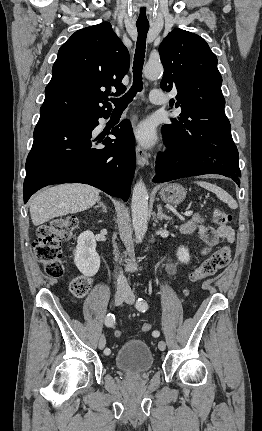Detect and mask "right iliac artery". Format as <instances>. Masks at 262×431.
Returning <instances> with one entry per match:
<instances>
[{
    "label": "right iliac artery",
    "mask_w": 262,
    "mask_h": 431,
    "mask_svg": "<svg viewBox=\"0 0 262 431\" xmlns=\"http://www.w3.org/2000/svg\"><path fill=\"white\" fill-rule=\"evenodd\" d=\"M105 325L107 327H112L115 324V316L112 313H109L106 317H105ZM105 354H109L110 353V349H105L104 351Z\"/></svg>",
    "instance_id": "obj_1"
}]
</instances>
